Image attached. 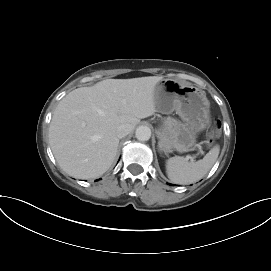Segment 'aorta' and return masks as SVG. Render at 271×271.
I'll return each mask as SVG.
<instances>
[{"label":"aorta","mask_w":271,"mask_h":271,"mask_svg":"<svg viewBox=\"0 0 271 271\" xmlns=\"http://www.w3.org/2000/svg\"><path fill=\"white\" fill-rule=\"evenodd\" d=\"M135 136L139 141H148L151 137V129L148 126H139Z\"/></svg>","instance_id":"obj_1"}]
</instances>
